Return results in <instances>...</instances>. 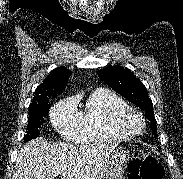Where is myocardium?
Here are the masks:
<instances>
[{"label":"myocardium","mask_w":183,"mask_h":179,"mask_svg":"<svg viewBox=\"0 0 183 179\" xmlns=\"http://www.w3.org/2000/svg\"><path fill=\"white\" fill-rule=\"evenodd\" d=\"M129 114L135 115L140 121V128L136 131H131L125 126V119ZM113 126L117 132L129 138L140 135L146 127V122L143 114L137 108L126 105L115 112Z\"/></svg>","instance_id":"f54148a6"}]
</instances>
